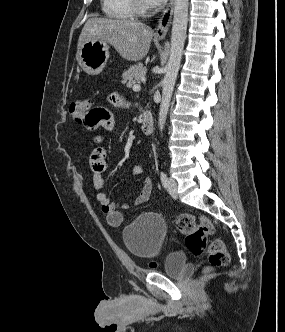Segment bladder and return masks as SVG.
Listing matches in <instances>:
<instances>
[{"instance_id": "1", "label": "bladder", "mask_w": 285, "mask_h": 332, "mask_svg": "<svg viewBox=\"0 0 285 332\" xmlns=\"http://www.w3.org/2000/svg\"><path fill=\"white\" fill-rule=\"evenodd\" d=\"M168 226L162 216L146 212L137 216L122 233L127 250L135 257L147 259L157 255L164 243ZM166 275L184 278L191 272V265L183 253L169 255L164 263Z\"/></svg>"}]
</instances>
